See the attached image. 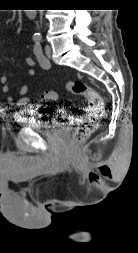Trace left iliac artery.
<instances>
[{
	"label": "left iliac artery",
	"instance_id": "left-iliac-artery-1",
	"mask_svg": "<svg viewBox=\"0 0 138 253\" xmlns=\"http://www.w3.org/2000/svg\"><path fill=\"white\" fill-rule=\"evenodd\" d=\"M34 53H35V55L37 57V60L39 61L40 65L43 68H47L48 64H49V61L43 55L42 48H41V46L39 44L35 45V47H34Z\"/></svg>",
	"mask_w": 138,
	"mask_h": 253
}]
</instances>
